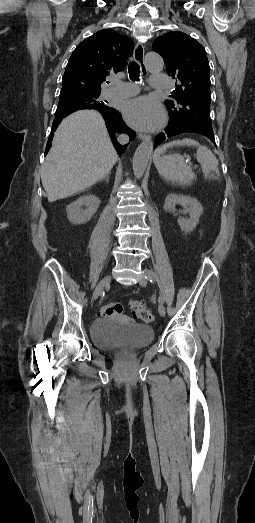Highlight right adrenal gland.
I'll return each mask as SVG.
<instances>
[{
    "mask_svg": "<svg viewBox=\"0 0 255 523\" xmlns=\"http://www.w3.org/2000/svg\"><path fill=\"white\" fill-rule=\"evenodd\" d=\"M106 182H109V174H107V176H104Z\"/></svg>",
    "mask_w": 255,
    "mask_h": 523,
    "instance_id": "2a0ac1e0",
    "label": "right adrenal gland"
}]
</instances>
